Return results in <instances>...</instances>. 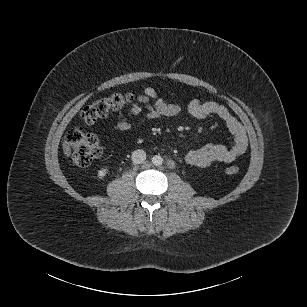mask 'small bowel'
I'll use <instances>...</instances> for the list:
<instances>
[{
    "mask_svg": "<svg viewBox=\"0 0 307 307\" xmlns=\"http://www.w3.org/2000/svg\"><path fill=\"white\" fill-rule=\"evenodd\" d=\"M144 93L153 100V105L146 106L147 112L144 114L140 104H133L127 116H124L120 110L114 111L116 116L114 128L117 131L129 132L145 123L161 117H173L182 111L180 104L165 102L151 87H146ZM187 111L192 117L199 120L218 117L233 136V143L230 147L208 144L188 151L185 157L187 163L197 167H206L217 162L231 163L246 152L248 148L246 131L225 106L214 101L203 102L193 99L188 103Z\"/></svg>",
    "mask_w": 307,
    "mask_h": 307,
    "instance_id": "c3829d8e",
    "label": "small bowel"
}]
</instances>
